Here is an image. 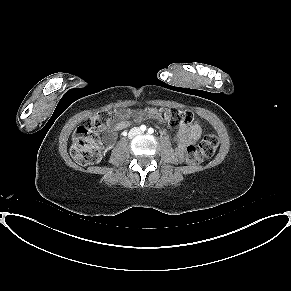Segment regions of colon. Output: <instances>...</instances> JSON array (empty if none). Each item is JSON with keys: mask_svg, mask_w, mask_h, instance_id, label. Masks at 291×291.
<instances>
[{"mask_svg": "<svg viewBox=\"0 0 291 291\" xmlns=\"http://www.w3.org/2000/svg\"><path fill=\"white\" fill-rule=\"evenodd\" d=\"M157 114L173 127H183L193 120L190 112L175 108L162 109L157 111ZM111 119L110 112H98L76 129L70 148L73 160L81 165L95 164L101 160L102 151L97 139L108 127ZM218 144L219 138L217 135L206 134L199 146H189L187 148L185 153L186 164L196 165L205 158L213 156Z\"/></svg>", "mask_w": 291, "mask_h": 291, "instance_id": "5ec220e1", "label": "colon"}]
</instances>
